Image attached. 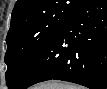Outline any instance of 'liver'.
Segmentation results:
<instances>
[{
    "label": "liver",
    "instance_id": "1",
    "mask_svg": "<svg viewBox=\"0 0 107 89\" xmlns=\"http://www.w3.org/2000/svg\"><path fill=\"white\" fill-rule=\"evenodd\" d=\"M62 84L63 83H59V82H48V83H44L39 86H36L35 89H59L60 85Z\"/></svg>",
    "mask_w": 107,
    "mask_h": 89
}]
</instances>
